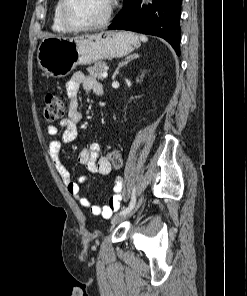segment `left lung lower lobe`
Wrapping results in <instances>:
<instances>
[{"label": "left lung lower lobe", "instance_id": "obj_1", "mask_svg": "<svg viewBox=\"0 0 247 296\" xmlns=\"http://www.w3.org/2000/svg\"><path fill=\"white\" fill-rule=\"evenodd\" d=\"M142 0H124L122 10L109 29H124L164 38L180 55L182 0H154L141 8Z\"/></svg>", "mask_w": 247, "mask_h": 296}]
</instances>
